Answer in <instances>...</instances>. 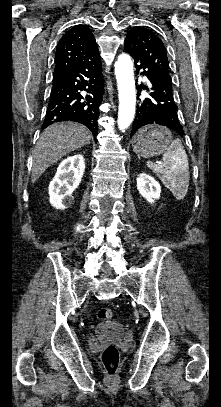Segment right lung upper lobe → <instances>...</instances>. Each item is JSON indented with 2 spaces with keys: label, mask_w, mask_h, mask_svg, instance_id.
Instances as JSON below:
<instances>
[{
  "label": "right lung upper lobe",
  "mask_w": 221,
  "mask_h": 407,
  "mask_svg": "<svg viewBox=\"0 0 221 407\" xmlns=\"http://www.w3.org/2000/svg\"><path fill=\"white\" fill-rule=\"evenodd\" d=\"M97 50L95 37L87 26L72 27L57 45L54 75L89 59Z\"/></svg>",
  "instance_id": "right-lung-upper-lobe-1"
}]
</instances>
